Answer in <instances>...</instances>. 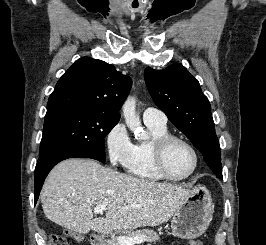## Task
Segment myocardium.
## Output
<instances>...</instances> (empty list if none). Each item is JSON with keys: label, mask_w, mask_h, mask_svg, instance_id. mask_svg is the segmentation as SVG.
Returning a JSON list of instances; mask_svg holds the SVG:
<instances>
[{"label": "myocardium", "mask_w": 266, "mask_h": 245, "mask_svg": "<svg viewBox=\"0 0 266 245\" xmlns=\"http://www.w3.org/2000/svg\"><path fill=\"white\" fill-rule=\"evenodd\" d=\"M173 141H180L186 144L193 152L195 162L191 172L182 178L173 177L165 166V152L169 144ZM152 157L157 172L166 180L173 182H183L192 178L198 170L200 156L197 148L185 137L175 134H167L157 138L152 144Z\"/></svg>", "instance_id": "myocardium-1"}]
</instances>
